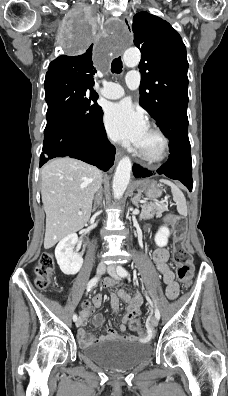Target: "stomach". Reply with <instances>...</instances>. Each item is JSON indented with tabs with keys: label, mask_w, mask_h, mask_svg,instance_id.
<instances>
[{
	"label": "stomach",
	"mask_w": 228,
	"mask_h": 396,
	"mask_svg": "<svg viewBox=\"0 0 228 396\" xmlns=\"http://www.w3.org/2000/svg\"><path fill=\"white\" fill-rule=\"evenodd\" d=\"M143 190L145 191L147 199L155 200L162 194V191L156 186L155 183L145 184L143 186Z\"/></svg>",
	"instance_id": "0dacf381"
}]
</instances>
